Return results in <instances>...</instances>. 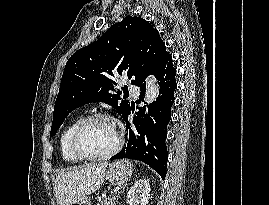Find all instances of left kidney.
<instances>
[{
  "mask_svg": "<svg viewBox=\"0 0 269 205\" xmlns=\"http://www.w3.org/2000/svg\"><path fill=\"white\" fill-rule=\"evenodd\" d=\"M150 198V185L146 179L134 183L127 193L129 205H147Z\"/></svg>",
  "mask_w": 269,
  "mask_h": 205,
  "instance_id": "obj_1",
  "label": "left kidney"
}]
</instances>
